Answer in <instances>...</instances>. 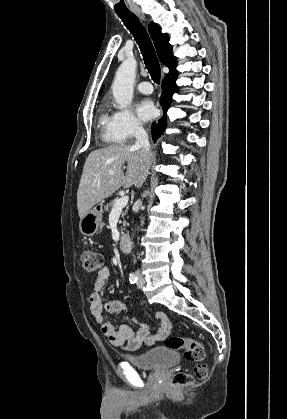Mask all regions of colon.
<instances>
[{"instance_id": "5ec220e1", "label": "colon", "mask_w": 287, "mask_h": 419, "mask_svg": "<svg viewBox=\"0 0 287 419\" xmlns=\"http://www.w3.org/2000/svg\"><path fill=\"white\" fill-rule=\"evenodd\" d=\"M79 260L86 275H92L104 268L103 256L92 249L83 250L80 253ZM165 344L170 349L182 351L188 362L195 363L194 375L184 372L176 373L172 378L174 385H192L197 380H203L207 376V366L204 363L205 350L201 343L192 339L171 335L166 337Z\"/></svg>"}]
</instances>
